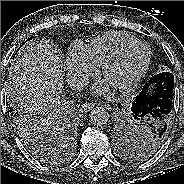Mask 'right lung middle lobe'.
Returning <instances> with one entry per match:
<instances>
[{
    "label": "right lung middle lobe",
    "instance_id": "1",
    "mask_svg": "<svg viewBox=\"0 0 184 184\" xmlns=\"http://www.w3.org/2000/svg\"><path fill=\"white\" fill-rule=\"evenodd\" d=\"M13 114L18 132L28 149L41 161H54V158L45 151L44 142L52 132L56 131L58 114L54 112L49 117L36 118L31 110L17 103Z\"/></svg>",
    "mask_w": 184,
    "mask_h": 184
}]
</instances>
